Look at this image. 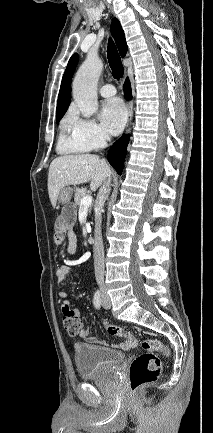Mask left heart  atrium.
Instances as JSON below:
<instances>
[{
	"instance_id": "39dd6f15",
	"label": "left heart atrium",
	"mask_w": 213,
	"mask_h": 433,
	"mask_svg": "<svg viewBox=\"0 0 213 433\" xmlns=\"http://www.w3.org/2000/svg\"><path fill=\"white\" fill-rule=\"evenodd\" d=\"M127 112L121 100L110 99L103 105L101 121L104 128L111 134H119L126 123Z\"/></svg>"
}]
</instances>
